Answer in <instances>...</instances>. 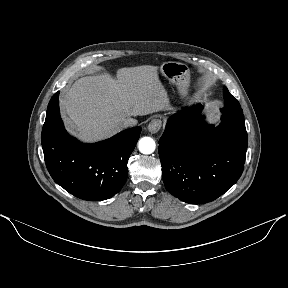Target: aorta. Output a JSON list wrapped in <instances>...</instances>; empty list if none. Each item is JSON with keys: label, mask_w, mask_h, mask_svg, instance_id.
Here are the masks:
<instances>
[{"label": "aorta", "mask_w": 288, "mask_h": 288, "mask_svg": "<svg viewBox=\"0 0 288 288\" xmlns=\"http://www.w3.org/2000/svg\"><path fill=\"white\" fill-rule=\"evenodd\" d=\"M139 151L143 154H151L155 151V141L150 137H143L138 143Z\"/></svg>", "instance_id": "1"}]
</instances>
